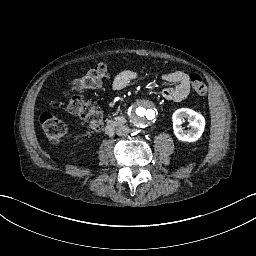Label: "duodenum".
I'll use <instances>...</instances> for the list:
<instances>
[{
  "mask_svg": "<svg viewBox=\"0 0 256 256\" xmlns=\"http://www.w3.org/2000/svg\"><path fill=\"white\" fill-rule=\"evenodd\" d=\"M126 124V121L122 117H116L112 120H110L105 126H104V134L105 135H112L114 130L117 127L123 126Z\"/></svg>",
  "mask_w": 256,
  "mask_h": 256,
  "instance_id": "1",
  "label": "duodenum"
}]
</instances>
